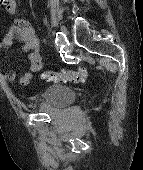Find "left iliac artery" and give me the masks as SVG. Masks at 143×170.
<instances>
[{
    "instance_id": "44dca946",
    "label": "left iliac artery",
    "mask_w": 143,
    "mask_h": 170,
    "mask_svg": "<svg viewBox=\"0 0 143 170\" xmlns=\"http://www.w3.org/2000/svg\"><path fill=\"white\" fill-rule=\"evenodd\" d=\"M56 45H63V44H68L69 42L66 38V36L62 32H57L56 33V40H55Z\"/></svg>"
}]
</instances>
